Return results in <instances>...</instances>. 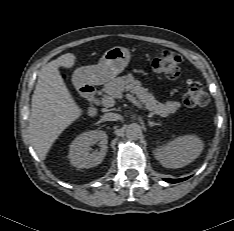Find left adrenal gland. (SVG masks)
Wrapping results in <instances>:
<instances>
[{
  "label": "left adrenal gland",
  "mask_w": 234,
  "mask_h": 231,
  "mask_svg": "<svg viewBox=\"0 0 234 231\" xmlns=\"http://www.w3.org/2000/svg\"><path fill=\"white\" fill-rule=\"evenodd\" d=\"M148 124L150 127H153V126H160L161 124L160 123H155V122H152V121H148Z\"/></svg>",
  "instance_id": "1"
}]
</instances>
